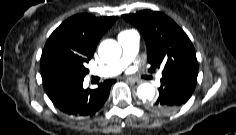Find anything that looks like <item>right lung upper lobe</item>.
<instances>
[{
	"label": "right lung upper lobe",
	"mask_w": 236,
	"mask_h": 135,
	"mask_svg": "<svg viewBox=\"0 0 236 135\" xmlns=\"http://www.w3.org/2000/svg\"><path fill=\"white\" fill-rule=\"evenodd\" d=\"M117 18L95 17L90 14L74 15L51 34L44 49L58 45L76 53L93 56L98 41Z\"/></svg>",
	"instance_id": "obj_1"
}]
</instances>
